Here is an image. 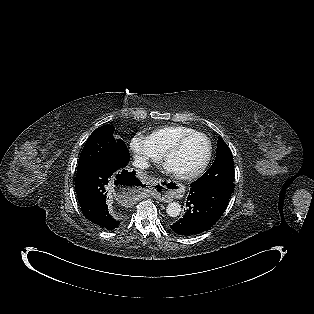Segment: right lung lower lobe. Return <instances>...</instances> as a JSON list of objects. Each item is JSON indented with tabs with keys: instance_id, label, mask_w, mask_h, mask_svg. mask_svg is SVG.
I'll return each instance as SVG.
<instances>
[{
	"instance_id": "right-lung-lower-lobe-1",
	"label": "right lung lower lobe",
	"mask_w": 314,
	"mask_h": 314,
	"mask_svg": "<svg viewBox=\"0 0 314 314\" xmlns=\"http://www.w3.org/2000/svg\"><path fill=\"white\" fill-rule=\"evenodd\" d=\"M128 162H113L98 166L81 175H77L75 180L76 194L84 216L103 229L113 230L117 228L121 219L110 214L106 204L107 192L106 185L114 175L123 179V183L128 186H140V181L136 178L135 171L129 173L123 169ZM144 187V185H142Z\"/></svg>"
}]
</instances>
